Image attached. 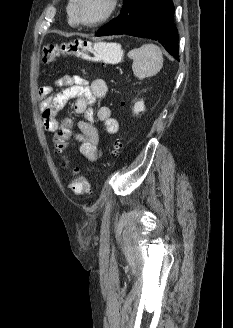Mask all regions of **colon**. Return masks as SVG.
Returning <instances> with one entry per match:
<instances>
[{
	"label": "colon",
	"instance_id": "5ec220e1",
	"mask_svg": "<svg viewBox=\"0 0 233 328\" xmlns=\"http://www.w3.org/2000/svg\"><path fill=\"white\" fill-rule=\"evenodd\" d=\"M65 55H72L87 61L113 62L120 58L121 50L118 46L108 43H90L73 41L63 44H49L42 48L40 61L49 64ZM54 146L57 150L62 166L71 173L70 188L78 194H87L91 191L88 180L80 173L78 167L71 166L69 156L65 150L66 142L72 137L73 128L70 119L59 122L54 132ZM122 147V141L113 143V154H117Z\"/></svg>",
	"mask_w": 233,
	"mask_h": 328
}]
</instances>
